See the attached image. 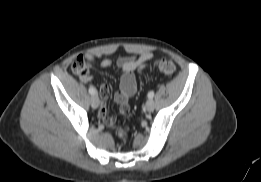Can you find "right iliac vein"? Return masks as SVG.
I'll use <instances>...</instances> for the list:
<instances>
[{"instance_id":"right-iliac-vein-1","label":"right iliac vein","mask_w":261,"mask_h":182,"mask_svg":"<svg viewBox=\"0 0 261 182\" xmlns=\"http://www.w3.org/2000/svg\"><path fill=\"white\" fill-rule=\"evenodd\" d=\"M91 106L96 109L99 106V98L97 95H93L90 98Z\"/></svg>"}]
</instances>
